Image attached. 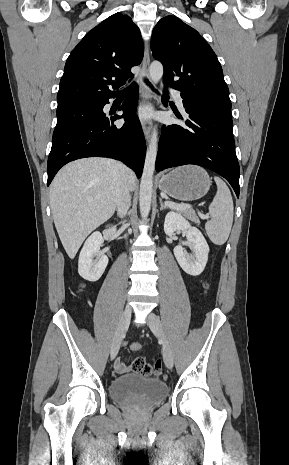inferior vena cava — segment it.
Returning <instances> with one entry per match:
<instances>
[{"instance_id":"1","label":"inferior vena cava","mask_w":289,"mask_h":465,"mask_svg":"<svg viewBox=\"0 0 289 465\" xmlns=\"http://www.w3.org/2000/svg\"><path fill=\"white\" fill-rule=\"evenodd\" d=\"M117 166L123 171L125 166L117 162ZM131 204V196H130V188L123 176H120L118 181V187L116 191V205H117V213L120 218H124L126 216L127 211Z\"/></svg>"}]
</instances>
